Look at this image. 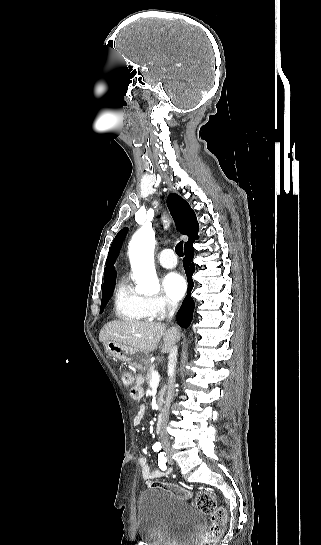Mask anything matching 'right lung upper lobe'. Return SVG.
Masks as SVG:
<instances>
[{
	"label": "right lung upper lobe",
	"mask_w": 321,
	"mask_h": 545,
	"mask_svg": "<svg viewBox=\"0 0 321 545\" xmlns=\"http://www.w3.org/2000/svg\"><path fill=\"white\" fill-rule=\"evenodd\" d=\"M167 206L169 208L170 214L177 226V229L182 233L187 235L189 238L192 237L199 228V224L196 219L195 212L191 209L187 201L177 194H170L167 199ZM127 228L121 230L116 237L114 238L109 255L107 258V267L105 268L104 275V285L103 289H106L111 286H115V275L116 271L113 267L116 257L118 256L119 250L121 248L122 242L126 236Z\"/></svg>",
	"instance_id": "obj_1"
}]
</instances>
